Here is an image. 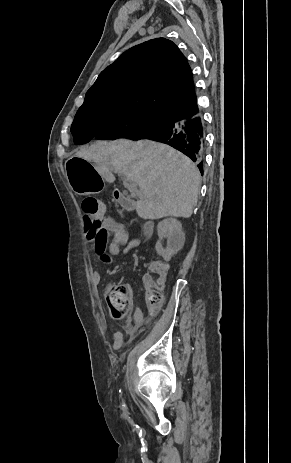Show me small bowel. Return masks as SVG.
Returning <instances> with one entry per match:
<instances>
[{
	"label": "small bowel",
	"instance_id": "c3829d8e",
	"mask_svg": "<svg viewBox=\"0 0 291 463\" xmlns=\"http://www.w3.org/2000/svg\"><path fill=\"white\" fill-rule=\"evenodd\" d=\"M100 228L86 229V243L94 250L100 260L104 263H111L113 257L124 255L131 250L138 248L141 244L139 239H129V235L122 224L111 217H102ZM111 240L109 241V237ZM94 281L99 283L101 280L98 272L94 273ZM143 282L147 284L148 276L143 277ZM127 289L130 286L127 285ZM133 320L135 327L144 323V313L140 308L134 309ZM123 342V334L117 332L114 335L112 346L115 350L119 349Z\"/></svg>",
	"mask_w": 291,
	"mask_h": 463
}]
</instances>
